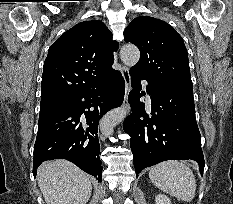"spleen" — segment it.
<instances>
[{
  "label": "spleen",
  "mask_w": 233,
  "mask_h": 204,
  "mask_svg": "<svg viewBox=\"0 0 233 204\" xmlns=\"http://www.w3.org/2000/svg\"><path fill=\"white\" fill-rule=\"evenodd\" d=\"M152 183L179 200L190 202L195 197L196 180L192 170L179 161H164L149 171Z\"/></svg>",
  "instance_id": "3e777b00"
}]
</instances>
